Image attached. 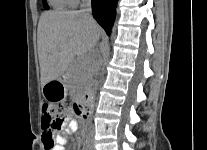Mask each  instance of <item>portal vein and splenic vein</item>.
I'll return each mask as SVG.
<instances>
[{
  "mask_svg": "<svg viewBox=\"0 0 207 150\" xmlns=\"http://www.w3.org/2000/svg\"><path fill=\"white\" fill-rule=\"evenodd\" d=\"M88 60H90V59H89V58H83L82 62H83V63H87Z\"/></svg>",
  "mask_w": 207,
  "mask_h": 150,
  "instance_id": "1",
  "label": "portal vein and splenic vein"
}]
</instances>
